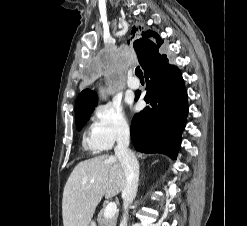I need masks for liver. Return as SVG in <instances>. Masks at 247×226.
<instances>
[{"instance_id":"1","label":"liver","mask_w":247,"mask_h":226,"mask_svg":"<svg viewBox=\"0 0 247 226\" xmlns=\"http://www.w3.org/2000/svg\"><path fill=\"white\" fill-rule=\"evenodd\" d=\"M125 173L114 156L102 155L78 163L63 191L64 226H88L102 198L123 191Z\"/></svg>"}]
</instances>
